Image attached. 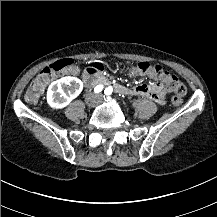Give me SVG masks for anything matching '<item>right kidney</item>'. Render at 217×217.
<instances>
[{
    "label": "right kidney",
    "instance_id": "right-kidney-1",
    "mask_svg": "<svg viewBox=\"0 0 217 217\" xmlns=\"http://www.w3.org/2000/svg\"><path fill=\"white\" fill-rule=\"evenodd\" d=\"M83 90V82L76 77H63L48 88L47 102L52 108H63ZM67 93L69 95H67Z\"/></svg>",
    "mask_w": 217,
    "mask_h": 217
}]
</instances>
